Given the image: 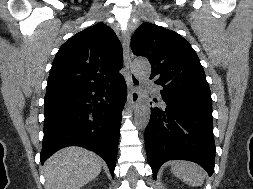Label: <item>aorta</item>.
Returning <instances> with one entry per match:
<instances>
[{
  "mask_svg": "<svg viewBox=\"0 0 253 189\" xmlns=\"http://www.w3.org/2000/svg\"><path fill=\"white\" fill-rule=\"evenodd\" d=\"M135 73L141 78H147L151 74V65L146 59L134 60ZM151 106L148 95L143 92L135 107L134 123L139 130H144L150 120Z\"/></svg>",
  "mask_w": 253,
  "mask_h": 189,
  "instance_id": "obj_1",
  "label": "aorta"
}]
</instances>
